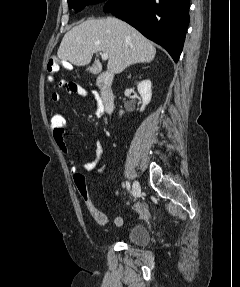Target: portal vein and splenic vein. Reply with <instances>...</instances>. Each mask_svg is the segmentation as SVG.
Returning <instances> with one entry per match:
<instances>
[{"label": "portal vein and splenic vein", "instance_id": "18ae733b", "mask_svg": "<svg viewBox=\"0 0 240 287\" xmlns=\"http://www.w3.org/2000/svg\"><path fill=\"white\" fill-rule=\"evenodd\" d=\"M101 58L103 60H107L108 59V53H101Z\"/></svg>", "mask_w": 240, "mask_h": 287}]
</instances>
